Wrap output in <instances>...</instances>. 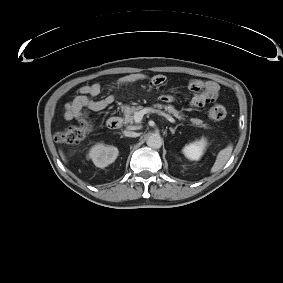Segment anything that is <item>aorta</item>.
Wrapping results in <instances>:
<instances>
[{
	"label": "aorta",
	"mask_w": 283,
	"mask_h": 283,
	"mask_svg": "<svg viewBox=\"0 0 283 283\" xmlns=\"http://www.w3.org/2000/svg\"><path fill=\"white\" fill-rule=\"evenodd\" d=\"M162 142V138L158 134H151L146 141L147 145L153 149H159L162 146Z\"/></svg>",
	"instance_id": "aorta-1"
}]
</instances>
